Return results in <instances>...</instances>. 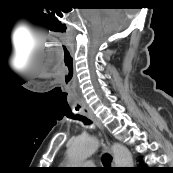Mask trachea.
<instances>
[{
  "label": "trachea",
  "mask_w": 173,
  "mask_h": 173,
  "mask_svg": "<svg viewBox=\"0 0 173 173\" xmlns=\"http://www.w3.org/2000/svg\"><path fill=\"white\" fill-rule=\"evenodd\" d=\"M71 118L76 119V120H80V121L84 122L85 124L91 123V121L86 116H83V115L78 114L76 116H72ZM111 161H112V157L109 154L103 155L102 163H103L104 167L110 168Z\"/></svg>",
  "instance_id": "obj_1"
}]
</instances>
